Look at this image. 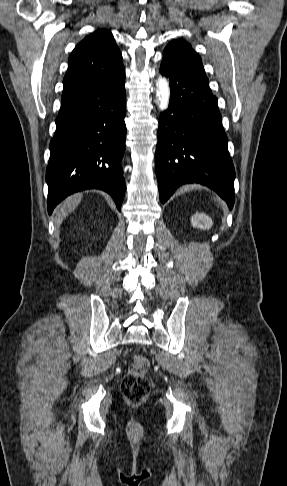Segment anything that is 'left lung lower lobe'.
<instances>
[{"label":"left lung lower lobe","mask_w":287,"mask_h":486,"mask_svg":"<svg viewBox=\"0 0 287 486\" xmlns=\"http://www.w3.org/2000/svg\"><path fill=\"white\" fill-rule=\"evenodd\" d=\"M160 72L170 81V102L160 117L155 169L165 203L177 187L201 183L232 209L235 171L217 98L204 81L163 57Z\"/></svg>","instance_id":"left-lung-lower-lobe-1"}]
</instances>
